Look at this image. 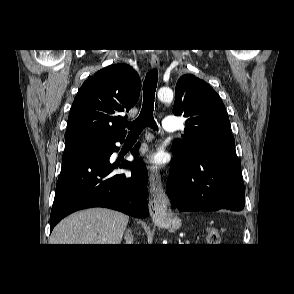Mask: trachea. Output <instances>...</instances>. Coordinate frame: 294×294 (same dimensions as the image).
Returning a JSON list of instances; mask_svg holds the SVG:
<instances>
[{
	"instance_id": "obj_1",
	"label": "trachea",
	"mask_w": 294,
	"mask_h": 294,
	"mask_svg": "<svg viewBox=\"0 0 294 294\" xmlns=\"http://www.w3.org/2000/svg\"><path fill=\"white\" fill-rule=\"evenodd\" d=\"M157 81V70L154 69L146 75L143 84L144 100L142 109L137 119H135L133 122L126 123V127L130 130L128 136H139L146 126L153 128L154 130L157 129V125L153 117Z\"/></svg>"
}]
</instances>
